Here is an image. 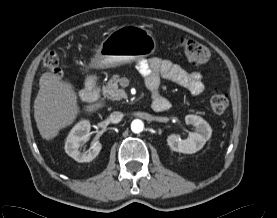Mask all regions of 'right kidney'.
I'll return each mask as SVG.
<instances>
[{
    "mask_svg": "<svg viewBox=\"0 0 277 218\" xmlns=\"http://www.w3.org/2000/svg\"><path fill=\"white\" fill-rule=\"evenodd\" d=\"M91 124L88 120L79 121L70 131L65 142V152L77 162H90L99 154L102 144L94 143L89 150L79 151L81 144L87 139Z\"/></svg>",
    "mask_w": 277,
    "mask_h": 218,
    "instance_id": "1",
    "label": "right kidney"
}]
</instances>
